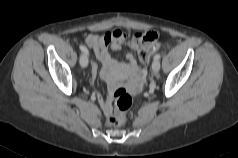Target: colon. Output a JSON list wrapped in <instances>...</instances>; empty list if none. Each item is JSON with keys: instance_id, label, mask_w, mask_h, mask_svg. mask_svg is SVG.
Masks as SVG:
<instances>
[{"instance_id": "obj_1", "label": "colon", "mask_w": 238, "mask_h": 158, "mask_svg": "<svg viewBox=\"0 0 238 158\" xmlns=\"http://www.w3.org/2000/svg\"><path fill=\"white\" fill-rule=\"evenodd\" d=\"M145 39L150 42L149 45L140 49L138 53L139 60L142 64L150 61L151 55L159 49L156 34H148ZM132 97L123 87L115 89L113 92V106L107 114V124L112 127H118L124 124L126 113L132 106Z\"/></svg>"}]
</instances>
